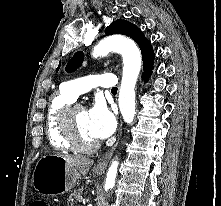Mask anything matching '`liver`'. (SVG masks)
Masks as SVG:
<instances>
[{"label": "liver", "mask_w": 221, "mask_h": 206, "mask_svg": "<svg viewBox=\"0 0 221 206\" xmlns=\"http://www.w3.org/2000/svg\"><path fill=\"white\" fill-rule=\"evenodd\" d=\"M65 158L68 165L76 171L78 174H82L85 176L90 167L93 164V160L88 159L86 157H80V156H70V155H60Z\"/></svg>", "instance_id": "obj_1"}]
</instances>
